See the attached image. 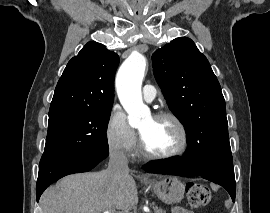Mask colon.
I'll return each instance as SVG.
<instances>
[{"label":"colon","mask_w":270,"mask_h":213,"mask_svg":"<svg viewBox=\"0 0 270 213\" xmlns=\"http://www.w3.org/2000/svg\"><path fill=\"white\" fill-rule=\"evenodd\" d=\"M186 196L189 204L195 208L204 207L211 200V192L208 187L195 182L186 184Z\"/></svg>","instance_id":"colon-1"}]
</instances>
